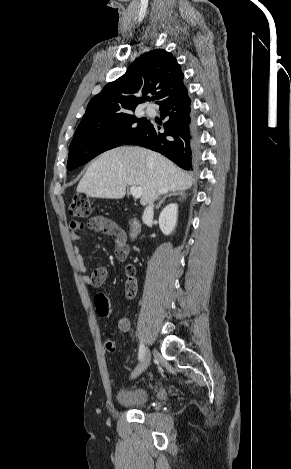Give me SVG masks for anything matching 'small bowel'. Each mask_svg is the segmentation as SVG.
Returning <instances> with one entry per match:
<instances>
[{"label":"small bowel","instance_id":"obj_1","mask_svg":"<svg viewBox=\"0 0 291 469\" xmlns=\"http://www.w3.org/2000/svg\"><path fill=\"white\" fill-rule=\"evenodd\" d=\"M87 228L91 231L110 235L113 238L114 243H115L116 255L119 249L125 247L126 233L120 226H118L112 220H109L102 216H95V217H92L88 221ZM71 229H72L71 240L74 244L73 251L75 254L76 265L79 268V270L83 273L82 277H83L84 282L92 288H97L101 286L106 280L108 276V270L104 266H99L95 268L91 273L88 272L83 254L81 252V248L79 246V242H80L79 232L83 230V225L78 221H73L71 222ZM127 254L123 258H120V260H125L127 257ZM135 292H136V289L134 293H131L129 291V287L126 282L127 296L131 298L134 296ZM98 314L100 315V313ZM117 326L120 331L128 332L130 330L131 324L128 318L121 317L117 320Z\"/></svg>","mask_w":291,"mask_h":469}]
</instances>
